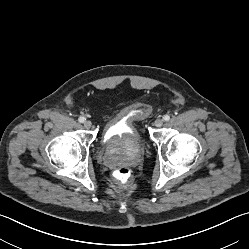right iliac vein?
Listing matches in <instances>:
<instances>
[{
    "label": "right iliac vein",
    "instance_id": "obj_1",
    "mask_svg": "<svg viewBox=\"0 0 249 249\" xmlns=\"http://www.w3.org/2000/svg\"><path fill=\"white\" fill-rule=\"evenodd\" d=\"M84 127L86 129H90L92 127V122L90 120H87L84 122Z\"/></svg>",
    "mask_w": 249,
    "mask_h": 249
}]
</instances>
